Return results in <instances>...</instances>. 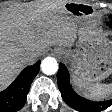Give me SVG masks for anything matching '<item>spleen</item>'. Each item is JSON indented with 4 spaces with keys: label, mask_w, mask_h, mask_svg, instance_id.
<instances>
[{
    "label": "spleen",
    "mask_w": 112,
    "mask_h": 112,
    "mask_svg": "<svg viewBox=\"0 0 112 112\" xmlns=\"http://www.w3.org/2000/svg\"><path fill=\"white\" fill-rule=\"evenodd\" d=\"M76 84L81 88H87L89 91L88 96L92 99H104L112 93V84H93L87 86L85 82L80 79L75 80Z\"/></svg>",
    "instance_id": "1"
}]
</instances>
